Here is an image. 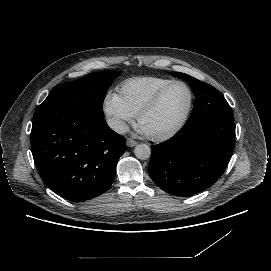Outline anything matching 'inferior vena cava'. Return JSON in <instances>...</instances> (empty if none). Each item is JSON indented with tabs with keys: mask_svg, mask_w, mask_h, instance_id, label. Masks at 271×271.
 Here are the masks:
<instances>
[{
	"mask_svg": "<svg viewBox=\"0 0 271 271\" xmlns=\"http://www.w3.org/2000/svg\"><path fill=\"white\" fill-rule=\"evenodd\" d=\"M108 125L116 133L122 134V135L126 134L128 132V129H129L127 124L124 121L118 120V119L109 120Z\"/></svg>",
	"mask_w": 271,
	"mask_h": 271,
	"instance_id": "602c4592",
	"label": "inferior vena cava"
}]
</instances>
